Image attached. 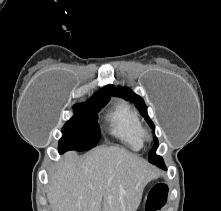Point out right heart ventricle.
Listing matches in <instances>:
<instances>
[{"mask_svg": "<svg viewBox=\"0 0 221 211\" xmlns=\"http://www.w3.org/2000/svg\"><path fill=\"white\" fill-rule=\"evenodd\" d=\"M111 133L134 150L143 146L144 129L137 111L127 102L120 101L109 114Z\"/></svg>", "mask_w": 221, "mask_h": 211, "instance_id": "right-heart-ventricle-1", "label": "right heart ventricle"}]
</instances>
